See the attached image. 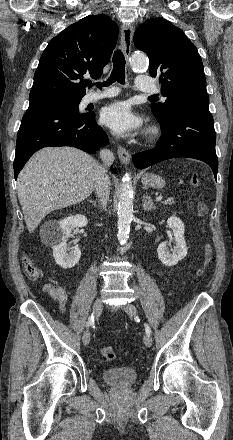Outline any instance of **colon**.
I'll return each mask as SVG.
<instances>
[{"mask_svg": "<svg viewBox=\"0 0 233 440\" xmlns=\"http://www.w3.org/2000/svg\"><path fill=\"white\" fill-rule=\"evenodd\" d=\"M190 183L194 187H199L201 185V179L198 173H193L190 177ZM209 212L208 206L205 202L200 201L197 205V214L200 217L202 224ZM212 259V248L209 244L205 247L204 259L202 266L197 271V276L202 277L207 269V266L211 262ZM23 267L27 274V276L32 280L41 279L43 276L42 270L35 265L31 259L27 256L23 257ZM101 355L107 361H113L116 359V353L114 349L110 346H104L101 348Z\"/></svg>", "mask_w": 233, "mask_h": 440, "instance_id": "5ec220e1", "label": "colon"}]
</instances>
